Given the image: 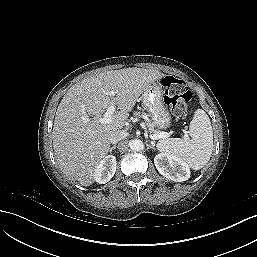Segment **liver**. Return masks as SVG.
Listing matches in <instances>:
<instances>
[{
	"label": "liver",
	"instance_id": "obj_1",
	"mask_svg": "<svg viewBox=\"0 0 257 257\" xmlns=\"http://www.w3.org/2000/svg\"><path fill=\"white\" fill-rule=\"evenodd\" d=\"M165 74L154 69L124 68L88 77L73 85L61 100L52 138L55 158L64 174L83 186L94 183V170L110 151V137L125 125L145 88ZM115 95H109V91ZM117 106L109 123L99 120Z\"/></svg>",
	"mask_w": 257,
	"mask_h": 257
}]
</instances>
